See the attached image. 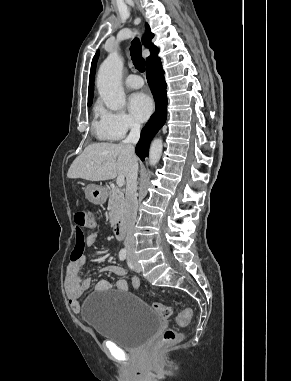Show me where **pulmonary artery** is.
<instances>
[{"instance_id":"pulmonary-artery-1","label":"pulmonary artery","mask_w":291,"mask_h":381,"mask_svg":"<svg viewBox=\"0 0 291 381\" xmlns=\"http://www.w3.org/2000/svg\"><path fill=\"white\" fill-rule=\"evenodd\" d=\"M125 83L130 89H139L143 86L144 82L139 75L131 74L126 78Z\"/></svg>"}]
</instances>
